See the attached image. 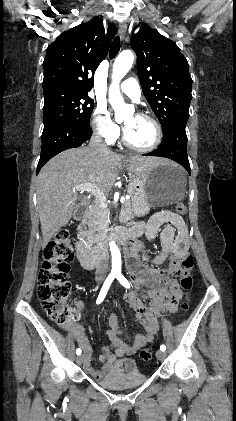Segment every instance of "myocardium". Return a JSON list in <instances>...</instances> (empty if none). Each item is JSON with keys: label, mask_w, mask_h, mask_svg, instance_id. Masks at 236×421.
<instances>
[{"label": "myocardium", "mask_w": 236, "mask_h": 421, "mask_svg": "<svg viewBox=\"0 0 236 421\" xmlns=\"http://www.w3.org/2000/svg\"><path fill=\"white\" fill-rule=\"evenodd\" d=\"M137 115L142 117L143 119L147 120L148 122H150L151 125L153 126L154 131H155L154 141L152 142L151 145H149L147 147H140V146L134 145L127 139L125 131L123 132L122 141H123V143L126 147H128V148H130L134 151L141 152V153L152 152V151L156 150L158 148V146L161 144L162 137H163L162 128H161L160 124L150 115L145 114V113H137Z\"/></svg>", "instance_id": "myocardium-1"}]
</instances>
